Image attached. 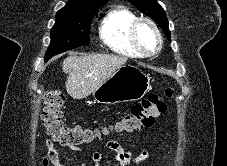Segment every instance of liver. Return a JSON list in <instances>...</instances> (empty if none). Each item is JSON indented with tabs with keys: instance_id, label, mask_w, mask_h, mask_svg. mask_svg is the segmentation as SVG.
Masks as SVG:
<instances>
[{
	"instance_id": "liver-1",
	"label": "liver",
	"mask_w": 227,
	"mask_h": 166,
	"mask_svg": "<svg viewBox=\"0 0 227 166\" xmlns=\"http://www.w3.org/2000/svg\"><path fill=\"white\" fill-rule=\"evenodd\" d=\"M126 62L127 57L109 54L67 57L62 67L69 74L67 93L73 99L88 97Z\"/></svg>"
}]
</instances>
